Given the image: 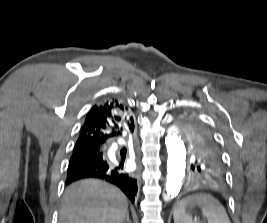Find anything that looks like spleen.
Segmentation results:
<instances>
[{"label": "spleen", "instance_id": "spleen-1", "mask_svg": "<svg viewBox=\"0 0 267 223\" xmlns=\"http://www.w3.org/2000/svg\"><path fill=\"white\" fill-rule=\"evenodd\" d=\"M190 203H197L202 207L203 216L208 223H231L222 204L208 194L192 195L178 202L173 212L174 223H193L191 216L185 212Z\"/></svg>", "mask_w": 267, "mask_h": 223}]
</instances>
